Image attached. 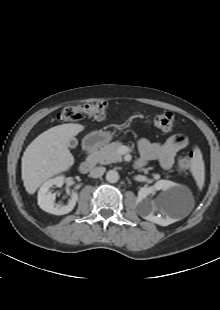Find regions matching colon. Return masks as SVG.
Instances as JSON below:
<instances>
[{"label": "colon", "mask_w": 220, "mask_h": 310, "mask_svg": "<svg viewBox=\"0 0 220 310\" xmlns=\"http://www.w3.org/2000/svg\"><path fill=\"white\" fill-rule=\"evenodd\" d=\"M107 114L108 105L106 102L93 101L82 105L65 107L59 114L58 119L61 121L72 122L81 120L83 117L88 116L98 120H103L107 117ZM148 123L160 130L170 131L174 127L175 118L172 113L164 112L150 117ZM193 158V152L181 156L178 160V171L181 173H189L192 169Z\"/></svg>", "instance_id": "1"}]
</instances>
